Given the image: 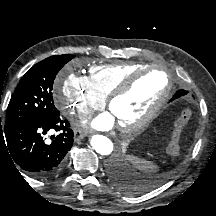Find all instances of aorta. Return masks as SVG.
<instances>
[{
  "instance_id": "aorta-1",
  "label": "aorta",
  "mask_w": 216,
  "mask_h": 216,
  "mask_svg": "<svg viewBox=\"0 0 216 216\" xmlns=\"http://www.w3.org/2000/svg\"><path fill=\"white\" fill-rule=\"evenodd\" d=\"M92 148L101 155H110L114 150L113 142L103 135H94L90 140Z\"/></svg>"
}]
</instances>
